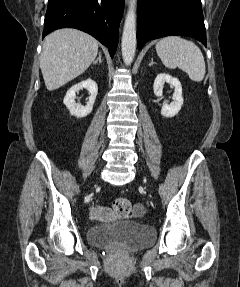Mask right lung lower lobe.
Here are the masks:
<instances>
[{
    "label": "right lung lower lobe",
    "instance_id": "1",
    "mask_svg": "<svg viewBox=\"0 0 240 287\" xmlns=\"http://www.w3.org/2000/svg\"><path fill=\"white\" fill-rule=\"evenodd\" d=\"M124 0H49L42 38L53 30L70 27L89 33L114 56Z\"/></svg>",
    "mask_w": 240,
    "mask_h": 287
}]
</instances>
